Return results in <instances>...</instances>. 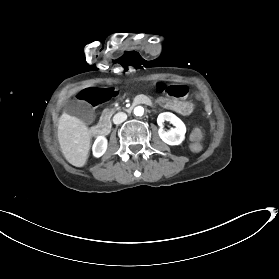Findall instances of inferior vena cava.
<instances>
[{"label": "inferior vena cava", "mask_w": 279, "mask_h": 279, "mask_svg": "<svg viewBox=\"0 0 279 279\" xmlns=\"http://www.w3.org/2000/svg\"><path fill=\"white\" fill-rule=\"evenodd\" d=\"M127 119V115L123 112L118 113L114 116L113 121L115 124H120Z\"/></svg>", "instance_id": "inferior-vena-cava-1"}]
</instances>
